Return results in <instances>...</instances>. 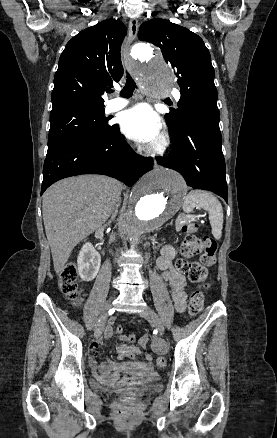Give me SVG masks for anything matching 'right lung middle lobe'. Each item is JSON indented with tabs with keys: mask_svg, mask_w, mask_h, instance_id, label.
Masks as SVG:
<instances>
[{
	"mask_svg": "<svg viewBox=\"0 0 277 438\" xmlns=\"http://www.w3.org/2000/svg\"><path fill=\"white\" fill-rule=\"evenodd\" d=\"M104 109H78L50 114L48 150L67 142L98 138L116 126L108 124Z\"/></svg>",
	"mask_w": 277,
	"mask_h": 438,
	"instance_id": "dd1d6c3e",
	"label": "right lung middle lobe"
}]
</instances>
